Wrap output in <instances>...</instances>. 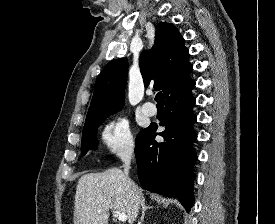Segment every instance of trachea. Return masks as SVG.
<instances>
[{"mask_svg": "<svg viewBox=\"0 0 275 224\" xmlns=\"http://www.w3.org/2000/svg\"><path fill=\"white\" fill-rule=\"evenodd\" d=\"M155 101L157 102V105H164V97L162 92H158L156 94Z\"/></svg>", "mask_w": 275, "mask_h": 224, "instance_id": "1", "label": "trachea"}]
</instances>
